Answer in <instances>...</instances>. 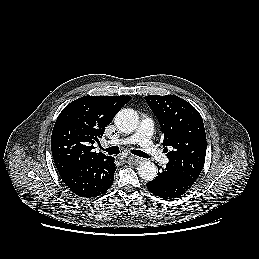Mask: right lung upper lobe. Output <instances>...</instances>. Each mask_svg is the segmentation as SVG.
Instances as JSON below:
<instances>
[{
    "mask_svg": "<svg viewBox=\"0 0 259 259\" xmlns=\"http://www.w3.org/2000/svg\"><path fill=\"white\" fill-rule=\"evenodd\" d=\"M130 96H84L59 114L51 136V151L59 173L109 156L94 151L105 127L131 99Z\"/></svg>",
    "mask_w": 259,
    "mask_h": 259,
    "instance_id": "obj_1",
    "label": "right lung upper lobe"
}]
</instances>
